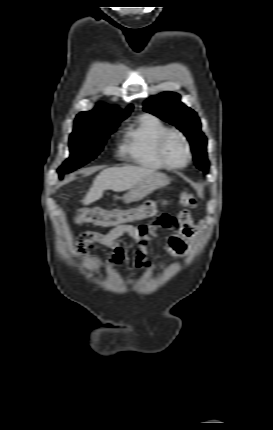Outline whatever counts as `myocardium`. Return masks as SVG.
<instances>
[{
  "instance_id": "1",
  "label": "myocardium",
  "mask_w": 273,
  "mask_h": 430,
  "mask_svg": "<svg viewBox=\"0 0 273 430\" xmlns=\"http://www.w3.org/2000/svg\"><path fill=\"white\" fill-rule=\"evenodd\" d=\"M173 135L180 137L184 143V146H185L186 158H185V161L181 164L171 163L165 155L166 141L168 140L169 137H171ZM157 153H158V156H159L160 160L162 161V163L166 167L171 168V169H182V168L186 167L190 163L191 158H192V151H191V146H190V143L188 141V138L185 136L184 133H182L181 131L176 130V129H170L161 135V137L159 138V141H158V145H157Z\"/></svg>"
}]
</instances>
